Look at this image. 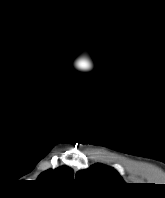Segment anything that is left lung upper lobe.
<instances>
[{"mask_svg":"<svg viewBox=\"0 0 165 198\" xmlns=\"http://www.w3.org/2000/svg\"><path fill=\"white\" fill-rule=\"evenodd\" d=\"M76 180L91 185H119L123 184L122 178L116 170L103 164H94L89 169L76 173Z\"/></svg>","mask_w":165,"mask_h":198,"instance_id":"left-lung-upper-lobe-1","label":"left lung upper lobe"}]
</instances>
